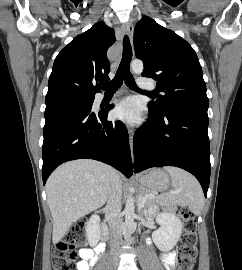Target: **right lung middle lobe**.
Listing matches in <instances>:
<instances>
[{
    "label": "right lung middle lobe",
    "mask_w": 242,
    "mask_h": 270,
    "mask_svg": "<svg viewBox=\"0 0 242 270\" xmlns=\"http://www.w3.org/2000/svg\"><path fill=\"white\" fill-rule=\"evenodd\" d=\"M93 101H94V99L70 102V103L60 104V105H56V106L46 107V110H50V109H53V108H57V107H61V106H65V105H69V104H73V103H77V102H85L88 106L92 107Z\"/></svg>",
    "instance_id": "dd1d6c3e"
}]
</instances>
